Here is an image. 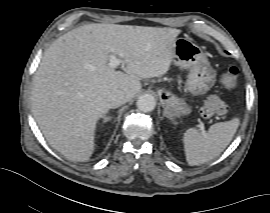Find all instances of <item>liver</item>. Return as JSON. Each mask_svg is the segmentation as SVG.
I'll list each match as a JSON object with an SVG mask.
<instances>
[{
	"instance_id": "6515ba94",
	"label": "liver",
	"mask_w": 270,
	"mask_h": 213,
	"mask_svg": "<svg viewBox=\"0 0 270 213\" xmlns=\"http://www.w3.org/2000/svg\"><path fill=\"white\" fill-rule=\"evenodd\" d=\"M179 34L174 28L95 23L55 40L35 73L31 96L48 143L71 161H88L97 120L114 108L110 93L121 90L129 101L141 89L139 79L166 74ZM110 55L127 73L109 65Z\"/></svg>"
}]
</instances>
